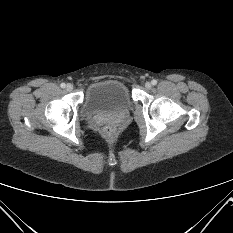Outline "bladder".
<instances>
[{
    "mask_svg": "<svg viewBox=\"0 0 233 233\" xmlns=\"http://www.w3.org/2000/svg\"><path fill=\"white\" fill-rule=\"evenodd\" d=\"M133 104L127 86L117 79H105L92 83L83 100V113L97 115L109 111H127Z\"/></svg>",
    "mask_w": 233,
    "mask_h": 233,
    "instance_id": "31cf9c89",
    "label": "bladder"
}]
</instances>
